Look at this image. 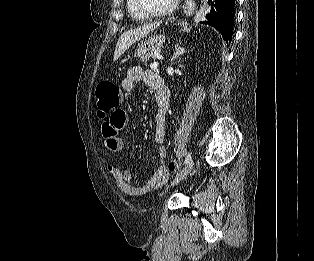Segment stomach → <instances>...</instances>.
Masks as SVG:
<instances>
[{
  "label": "stomach",
  "mask_w": 314,
  "mask_h": 261,
  "mask_svg": "<svg viewBox=\"0 0 314 261\" xmlns=\"http://www.w3.org/2000/svg\"><path fill=\"white\" fill-rule=\"evenodd\" d=\"M165 41L164 35H151L149 38L141 41L135 48V56L140 57L146 53L158 49Z\"/></svg>",
  "instance_id": "1"
}]
</instances>
